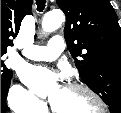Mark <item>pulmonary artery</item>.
<instances>
[{
  "instance_id": "1",
  "label": "pulmonary artery",
  "mask_w": 121,
  "mask_h": 113,
  "mask_svg": "<svg viewBox=\"0 0 121 113\" xmlns=\"http://www.w3.org/2000/svg\"><path fill=\"white\" fill-rule=\"evenodd\" d=\"M64 39L61 36L52 37L47 46L32 45L27 47L23 54L35 61H54L64 50Z\"/></svg>"
}]
</instances>
